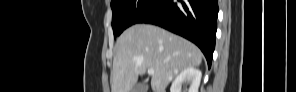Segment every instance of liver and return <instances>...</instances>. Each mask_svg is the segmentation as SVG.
Returning a JSON list of instances; mask_svg holds the SVG:
<instances>
[{"instance_id": "6515ba94", "label": "liver", "mask_w": 296, "mask_h": 92, "mask_svg": "<svg viewBox=\"0 0 296 92\" xmlns=\"http://www.w3.org/2000/svg\"><path fill=\"white\" fill-rule=\"evenodd\" d=\"M111 92H130L147 69L153 92H164L170 81L188 67L202 62V52L190 41L149 24H136L117 39Z\"/></svg>"}]
</instances>
